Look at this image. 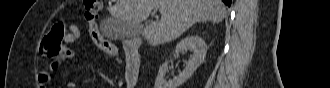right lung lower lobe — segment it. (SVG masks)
Segmentation results:
<instances>
[{
	"label": "right lung lower lobe",
	"instance_id": "right-lung-lower-lobe-1",
	"mask_svg": "<svg viewBox=\"0 0 330 88\" xmlns=\"http://www.w3.org/2000/svg\"><path fill=\"white\" fill-rule=\"evenodd\" d=\"M227 6L231 5V0H222Z\"/></svg>",
	"mask_w": 330,
	"mask_h": 88
}]
</instances>
